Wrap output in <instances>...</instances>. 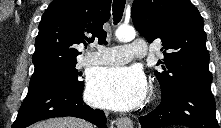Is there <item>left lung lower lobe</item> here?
Listing matches in <instances>:
<instances>
[{
	"instance_id": "0a47b994",
	"label": "left lung lower lobe",
	"mask_w": 221,
	"mask_h": 128,
	"mask_svg": "<svg viewBox=\"0 0 221 128\" xmlns=\"http://www.w3.org/2000/svg\"><path fill=\"white\" fill-rule=\"evenodd\" d=\"M211 87L191 85L173 96L162 98L159 106L139 118L142 128L183 125L189 128H219Z\"/></svg>"
}]
</instances>
